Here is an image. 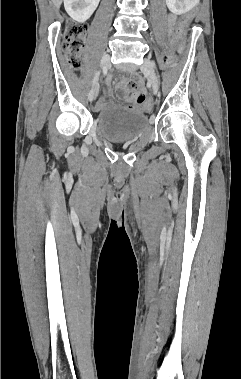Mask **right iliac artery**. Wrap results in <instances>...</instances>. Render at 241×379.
Wrapping results in <instances>:
<instances>
[{
    "mask_svg": "<svg viewBox=\"0 0 241 379\" xmlns=\"http://www.w3.org/2000/svg\"><path fill=\"white\" fill-rule=\"evenodd\" d=\"M100 72L98 71L95 76H94V79H93V84L96 83L97 79H98V76H99Z\"/></svg>",
    "mask_w": 241,
    "mask_h": 379,
    "instance_id": "1",
    "label": "right iliac artery"
}]
</instances>
